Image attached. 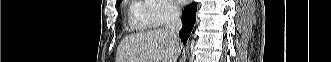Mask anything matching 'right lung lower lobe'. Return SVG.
Listing matches in <instances>:
<instances>
[{"label":"right lung lower lobe","instance_id":"98d812e1","mask_svg":"<svg viewBox=\"0 0 331 62\" xmlns=\"http://www.w3.org/2000/svg\"><path fill=\"white\" fill-rule=\"evenodd\" d=\"M196 10H197V5L196 3L193 2L192 4L188 5L182 13L183 26L179 32V36L184 44H186L187 39L190 36L191 31L193 29L196 20Z\"/></svg>","mask_w":331,"mask_h":62}]
</instances>
